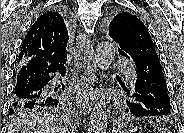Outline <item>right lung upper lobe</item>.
Listing matches in <instances>:
<instances>
[{
	"label": "right lung upper lobe",
	"instance_id": "cb5924a9",
	"mask_svg": "<svg viewBox=\"0 0 184 133\" xmlns=\"http://www.w3.org/2000/svg\"><path fill=\"white\" fill-rule=\"evenodd\" d=\"M70 25L64 11L53 9L39 16L30 27L17 57V67L25 60L42 58L47 62L66 60Z\"/></svg>",
	"mask_w": 184,
	"mask_h": 133
}]
</instances>
